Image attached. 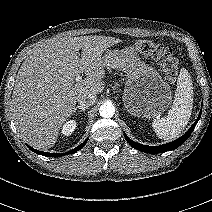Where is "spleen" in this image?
Here are the masks:
<instances>
[{"mask_svg": "<svg viewBox=\"0 0 212 212\" xmlns=\"http://www.w3.org/2000/svg\"><path fill=\"white\" fill-rule=\"evenodd\" d=\"M193 108V87L190 75L186 69H181L174 101L167 115L155 119L152 127L156 135L163 140H173L179 137L187 126Z\"/></svg>", "mask_w": 212, "mask_h": 212, "instance_id": "3e777b00", "label": "spleen"}]
</instances>
